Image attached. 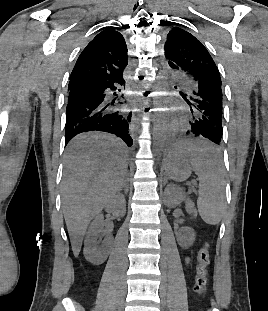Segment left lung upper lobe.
<instances>
[{"mask_svg":"<svg viewBox=\"0 0 268 311\" xmlns=\"http://www.w3.org/2000/svg\"><path fill=\"white\" fill-rule=\"evenodd\" d=\"M164 53L169 66L185 73L192 82L203 75L221 84L220 73L213 58L189 32L173 27L167 35Z\"/></svg>","mask_w":268,"mask_h":311,"instance_id":"obj_1","label":"left lung upper lobe"}]
</instances>
